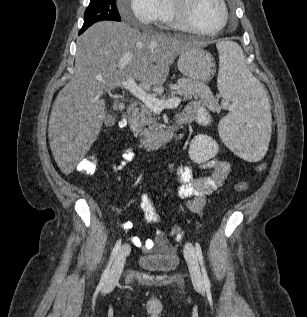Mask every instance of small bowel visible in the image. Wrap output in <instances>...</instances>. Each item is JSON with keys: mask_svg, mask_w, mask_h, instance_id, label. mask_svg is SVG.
I'll return each instance as SVG.
<instances>
[{"mask_svg": "<svg viewBox=\"0 0 307 317\" xmlns=\"http://www.w3.org/2000/svg\"><path fill=\"white\" fill-rule=\"evenodd\" d=\"M187 120H197L203 125H207L211 121L209 112L200 104L193 103L186 107L180 114ZM135 157V150L128 148L122 155V160L114 166L116 170H122L124 166L132 161ZM201 170L209 171L208 175L198 176L196 170L191 166L178 167L174 171V176L178 182L176 190L177 195L185 199L186 208L196 214L202 213L206 203L207 197L217 189H219L227 179L231 167L230 164L222 160H210L200 166ZM131 222L123 224L124 229H130ZM134 244L140 246L145 251H149L155 247L165 248L166 244L163 239L161 231H156L155 239L141 241L134 239Z\"/></svg>", "mask_w": 307, "mask_h": 317, "instance_id": "obj_1", "label": "small bowel"}]
</instances>
